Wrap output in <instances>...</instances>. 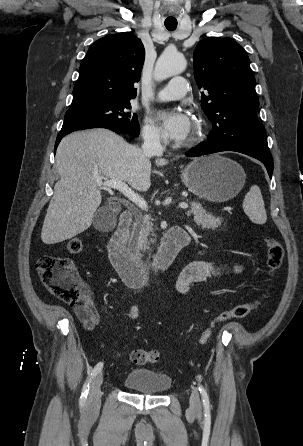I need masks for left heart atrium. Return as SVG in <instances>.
<instances>
[{"mask_svg": "<svg viewBox=\"0 0 303 446\" xmlns=\"http://www.w3.org/2000/svg\"><path fill=\"white\" fill-rule=\"evenodd\" d=\"M162 130L171 140H185L192 128V121L187 113L181 110L162 112L159 115Z\"/></svg>", "mask_w": 303, "mask_h": 446, "instance_id": "39dd6f15", "label": "left heart atrium"}]
</instances>
